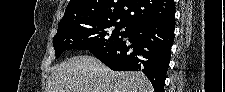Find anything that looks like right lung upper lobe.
Here are the masks:
<instances>
[{
	"mask_svg": "<svg viewBox=\"0 0 225 92\" xmlns=\"http://www.w3.org/2000/svg\"><path fill=\"white\" fill-rule=\"evenodd\" d=\"M175 16L173 0H70L58 30L73 23L116 22L134 27L149 21H166Z\"/></svg>",
	"mask_w": 225,
	"mask_h": 92,
	"instance_id": "cb5924a9",
	"label": "right lung upper lobe"
}]
</instances>
